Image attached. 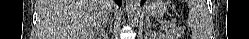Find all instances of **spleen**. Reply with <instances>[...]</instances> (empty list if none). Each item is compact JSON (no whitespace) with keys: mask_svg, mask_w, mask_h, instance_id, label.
<instances>
[{"mask_svg":"<svg viewBox=\"0 0 249 39\" xmlns=\"http://www.w3.org/2000/svg\"><path fill=\"white\" fill-rule=\"evenodd\" d=\"M188 23L192 30L193 39H208L211 28V19L207 11L205 1H190Z\"/></svg>","mask_w":249,"mask_h":39,"instance_id":"spleen-1","label":"spleen"}]
</instances>
